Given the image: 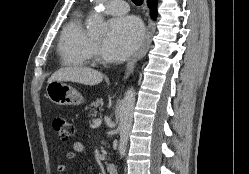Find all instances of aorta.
I'll list each match as a JSON object with an SVG mask.
<instances>
[{"label":"aorta","instance_id":"aorta-1","mask_svg":"<svg viewBox=\"0 0 249 174\" xmlns=\"http://www.w3.org/2000/svg\"><path fill=\"white\" fill-rule=\"evenodd\" d=\"M96 3H103L106 0H94ZM88 32L92 35L102 34L106 30V24L102 16L98 13H94L88 19ZM135 90L130 88L124 95V98L120 107V122L118 131L120 134L119 142V154L121 157L125 156L126 147L128 143L129 134L132 128L133 112L135 106Z\"/></svg>","mask_w":249,"mask_h":174}]
</instances>
